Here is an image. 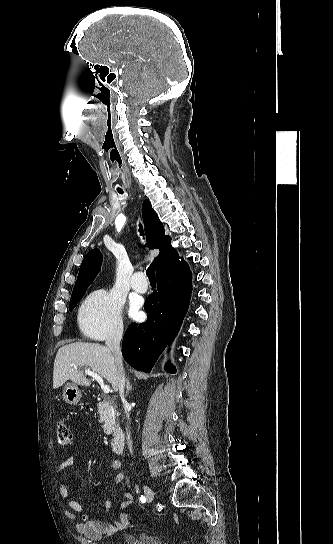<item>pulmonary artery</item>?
<instances>
[{
	"mask_svg": "<svg viewBox=\"0 0 333 544\" xmlns=\"http://www.w3.org/2000/svg\"><path fill=\"white\" fill-rule=\"evenodd\" d=\"M131 285L135 291L145 293L148 290V282L145 274L143 272H136L132 276Z\"/></svg>",
	"mask_w": 333,
	"mask_h": 544,
	"instance_id": "e3ab8cb5",
	"label": "pulmonary artery"
}]
</instances>
